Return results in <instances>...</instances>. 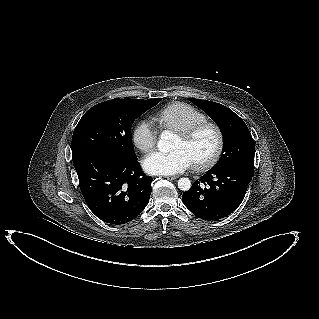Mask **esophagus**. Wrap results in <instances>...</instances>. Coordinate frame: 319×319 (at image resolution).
<instances>
[{
    "mask_svg": "<svg viewBox=\"0 0 319 319\" xmlns=\"http://www.w3.org/2000/svg\"><path fill=\"white\" fill-rule=\"evenodd\" d=\"M166 178H167L168 180H175V179L178 178V176H166Z\"/></svg>",
    "mask_w": 319,
    "mask_h": 319,
    "instance_id": "1",
    "label": "esophagus"
}]
</instances>
